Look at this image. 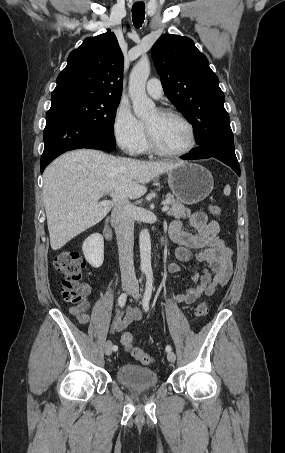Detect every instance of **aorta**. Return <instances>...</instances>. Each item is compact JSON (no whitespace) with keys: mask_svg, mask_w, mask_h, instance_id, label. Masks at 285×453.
I'll list each match as a JSON object with an SVG mask.
<instances>
[{"mask_svg":"<svg viewBox=\"0 0 285 453\" xmlns=\"http://www.w3.org/2000/svg\"><path fill=\"white\" fill-rule=\"evenodd\" d=\"M150 74V62L143 56L133 67L129 78V94L133 110L138 118L149 117L155 111V103L147 97L145 86ZM140 269L142 273L152 272L151 267V240L148 229H143L139 235Z\"/></svg>","mask_w":285,"mask_h":453,"instance_id":"aorta-1","label":"aorta"}]
</instances>
